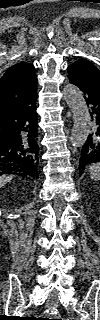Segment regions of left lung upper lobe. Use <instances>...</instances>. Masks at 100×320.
<instances>
[{
    "label": "left lung upper lobe",
    "instance_id": "obj_1",
    "mask_svg": "<svg viewBox=\"0 0 100 320\" xmlns=\"http://www.w3.org/2000/svg\"><path fill=\"white\" fill-rule=\"evenodd\" d=\"M67 70L69 75L83 81L100 94V71L89 60L78 59Z\"/></svg>",
    "mask_w": 100,
    "mask_h": 320
}]
</instances>
